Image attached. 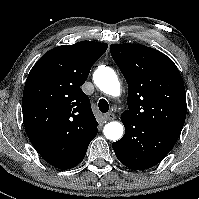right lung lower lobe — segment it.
<instances>
[{"mask_svg": "<svg viewBox=\"0 0 199 199\" xmlns=\"http://www.w3.org/2000/svg\"><path fill=\"white\" fill-rule=\"evenodd\" d=\"M86 151L87 149L81 154V156L70 166V168H73L75 166H77L83 159H84V156L86 154ZM50 164V163H49ZM52 165V164H51ZM53 166V165H52ZM55 167V166H54ZM68 168V169H70ZM59 169V168H58ZM61 170H65V169H61Z\"/></svg>", "mask_w": 199, "mask_h": 199, "instance_id": "obj_1", "label": "right lung lower lobe"}]
</instances>
